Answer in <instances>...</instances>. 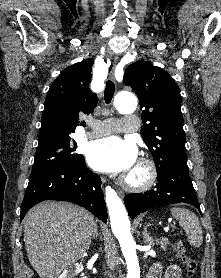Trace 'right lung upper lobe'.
<instances>
[{
  "label": "right lung upper lobe",
  "instance_id": "obj_1",
  "mask_svg": "<svg viewBox=\"0 0 221 278\" xmlns=\"http://www.w3.org/2000/svg\"><path fill=\"white\" fill-rule=\"evenodd\" d=\"M94 60L87 59L67 67L52 83L41 119L38 141L56 140L75 132L82 114H90L98 97L89 89Z\"/></svg>",
  "mask_w": 221,
  "mask_h": 278
}]
</instances>
